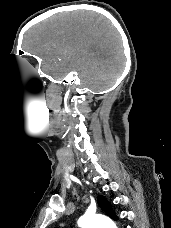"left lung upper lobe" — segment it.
Returning <instances> with one entry per match:
<instances>
[{
	"instance_id": "left-lung-upper-lobe-1",
	"label": "left lung upper lobe",
	"mask_w": 171,
	"mask_h": 228,
	"mask_svg": "<svg viewBox=\"0 0 171 228\" xmlns=\"http://www.w3.org/2000/svg\"><path fill=\"white\" fill-rule=\"evenodd\" d=\"M98 203L101 209L112 219L116 218V214L112 210L111 204L102 195L98 196Z\"/></svg>"
}]
</instances>
